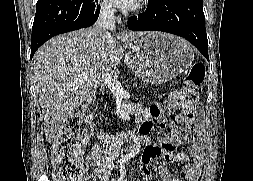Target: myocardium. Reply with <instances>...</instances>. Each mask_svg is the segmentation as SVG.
<instances>
[{"mask_svg": "<svg viewBox=\"0 0 253 181\" xmlns=\"http://www.w3.org/2000/svg\"><path fill=\"white\" fill-rule=\"evenodd\" d=\"M141 1L142 2H141V4H140V6H139L138 9H142L145 6L146 2H147V0H141Z\"/></svg>", "mask_w": 253, "mask_h": 181, "instance_id": "myocardium-1", "label": "myocardium"}]
</instances>
